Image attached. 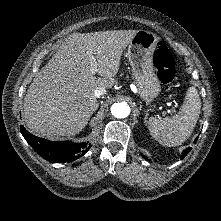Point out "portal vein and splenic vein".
<instances>
[{
    "mask_svg": "<svg viewBox=\"0 0 221 221\" xmlns=\"http://www.w3.org/2000/svg\"><path fill=\"white\" fill-rule=\"evenodd\" d=\"M90 71L92 74H95L97 72V67H98V63L96 61V59L94 58V56L92 55V51L90 54Z\"/></svg>",
    "mask_w": 221,
    "mask_h": 221,
    "instance_id": "portal-vein-and-splenic-vein-1",
    "label": "portal vein and splenic vein"
}]
</instances>
